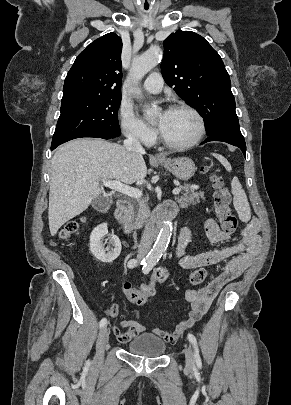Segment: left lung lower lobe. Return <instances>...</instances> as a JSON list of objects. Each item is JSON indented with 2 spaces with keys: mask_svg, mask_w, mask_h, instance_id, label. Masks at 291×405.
<instances>
[{
  "mask_svg": "<svg viewBox=\"0 0 291 405\" xmlns=\"http://www.w3.org/2000/svg\"><path fill=\"white\" fill-rule=\"evenodd\" d=\"M209 141H223L229 143L231 145L239 147L242 150L243 154H246V144L244 141V137L240 131H220L209 136L203 143Z\"/></svg>",
  "mask_w": 291,
  "mask_h": 405,
  "instance_id": "obj_1",
  "label": "left lung lower lobe"
}]
</instances>
